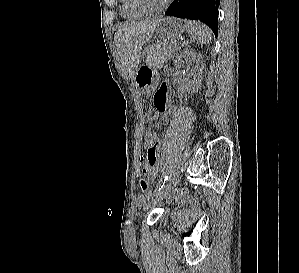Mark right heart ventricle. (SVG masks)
Returning a JSON list of instances; mask_svg holds the SVG:
<instances>
[{
	"label": "right heart ventricle",
	"instance_id": "1",
	"mask_svg": "<svg viewBox=\"0 0 299 273\" xmlns=\"http://www.w3.org/2000/svg\"><path fill=\"white\" fill-rule=\"evenodd\" d=\"M120 14L122 18L128 21H135L143 17L142 14L130 9L127 0H120Z\"/></svg>",
	"mask_w": 299,
	"mask_h": 273
}]
</instances>
